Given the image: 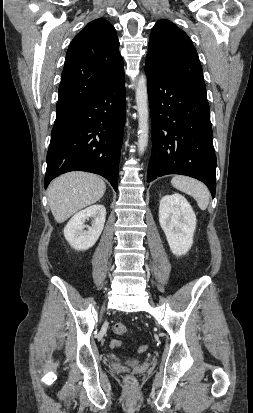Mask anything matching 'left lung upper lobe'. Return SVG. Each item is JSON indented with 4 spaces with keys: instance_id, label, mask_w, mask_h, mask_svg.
<instances>
[{
    "instance_id": "1",
    "label": "left lung upper lobe",
    "mask_w": 253,
    "mask_h": 413,
    "mask_svg": "<svg viewBox=\"0 0 253 413\" xmlns=\"http://www.w3.org/2000/svg\"><path fill=\"white\" fill-rule=\"evenodd\" d=\"M146 62L171 80L206 97V86L197 51L188 35L168 20L152 28Z\"/></svg>"
}]
</instances>
